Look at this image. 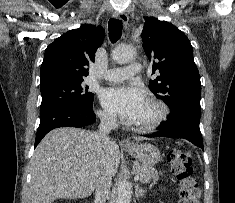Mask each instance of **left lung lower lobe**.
<instances>
[{
    "mask_svg": "<svg viewBox=\"0 0 235 203\" xmlns=\"http://www.w3.org/2000/svg\"><path fill=\"white\" fill-rule=\"evenodd\" d=\"M200 113L201 111L195 108L182 109L170 115L168 120L158 127V132L143 136L183 138L204 149L199 128Z\"/></svg>",
    "mask_w": 235,
    "mask_h": 203,
    "instance_id": "obj_1",
    "label": "left lung lower lobe"
}]
</instances>
